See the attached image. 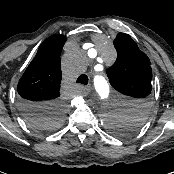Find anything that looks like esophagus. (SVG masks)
I'll return each instance as SVG.
<instances>
[{
    "instance_id": "obj_1",
    "label": "esophagus",
    "mask_w": 174,
    "mask_h": 174,
    "mask_svg": "<svg viewBox=\"0 0 174 174\" xmlns=\"http://www.w3.org/2000/svg\"><path fill=\"white\" fill-rule=\"evenodd\" d=\"M90 90H91L90 87H84V88H83V94H84V95L89 94Z\"/></svg>"
}]
</instances>
